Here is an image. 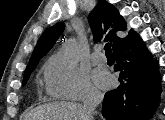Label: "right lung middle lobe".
<instances>
[{
    "instance_id": "1",
    "label": "right lung middle lobe",
    "mask_w": 165,
    "mask_h": 120,
    "mask_svg": "<svg viewBox=\"0 0 165 120\" xmlns=\"http://www.w3.org/2000/svg\"><path fill=\"white\" fill-rule=\"evenodd\" d=\"M37 64H38V62H35L25 70V74H24V78H23V86L26 84L30 74L36 68Z\"/></svg>"
}]
</instances>
